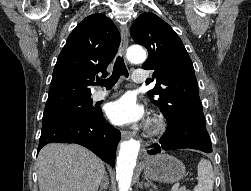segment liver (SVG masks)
<instances>
[{"label":"liver","mask_w":251,"mask_h":191,"mask_svg":"<svg viewBox=\"0 0 251 191\" xmlns=\"http://www.w3.org/2000/svg\"><path fill=\"white\" fill-rule=\"evenodd\" d=\"M40 191H98L102 159L77 143H47L37 157Z\"/></svg>","instance_id":"liver-1"}]
</instances>
